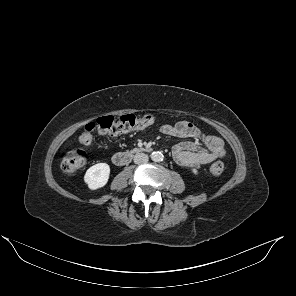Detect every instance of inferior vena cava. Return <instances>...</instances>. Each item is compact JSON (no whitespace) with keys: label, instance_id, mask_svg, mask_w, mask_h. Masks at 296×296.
Returning a JSON list of instances; mask_svg holds the SVG:
<instances>
[{"label":"inferior vena cava","instance_id":"obj_1","mask_svg":"<svg viewBox=\"0 0 296 296\" xmlns=\"http://www.w3.org/2000/svg\"><path fill=\"white\" fill-rule=\"evenodd\" d=\"M148 160H149L148 155L147 154H144V153H137L134 156V162L136 164H143V163L148 162Z\"/></svg>","mask_w":296,"mask_h":296}]
</instances>
